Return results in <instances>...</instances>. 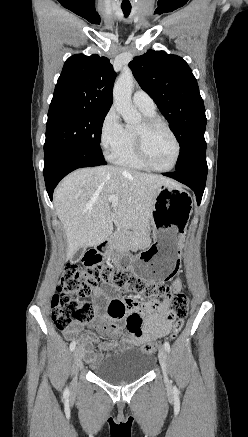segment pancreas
Instances as JSON below:
<instances>
[{"instance_id":"pancreas-1","label":"pancreas","mask_w":248,"mask_h":437,"mask_svg":"<svg viewBox=\"0 0 248 437\" xmlns=\"http://www.w3.org/2000/svg\"><path fill=\"white\" fill-rule=\"evenodd\" d=\"M116 236L119 238L118 242L121 245H126L129 240L130 232H123V231L116 232Z\"/></svg>"}]
</instances>
